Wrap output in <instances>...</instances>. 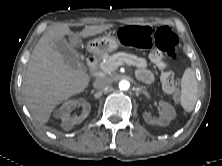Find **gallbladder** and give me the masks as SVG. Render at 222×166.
Masks as SVG:
<instances>
[{"label": "gallbladder", "mask_w": 222, "mask_h": 166, "mask_svg": "<svg viewBox=\"0 0 222 166\" xmlns=\"http://www.w3.org/2000/svg\"><path fill=\"white\" fill-rule=\"evenodd\" d=\"M55 46L66 64L74 69L81 67L80 59L75 50L72 49L70 44L65 38H60L55 41Z\"/></svg>", "instance_id": "bac80fb5"}]
</instances>
